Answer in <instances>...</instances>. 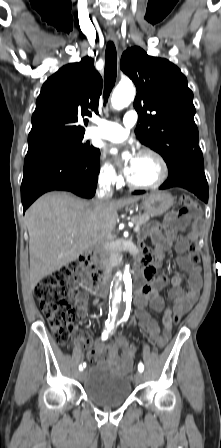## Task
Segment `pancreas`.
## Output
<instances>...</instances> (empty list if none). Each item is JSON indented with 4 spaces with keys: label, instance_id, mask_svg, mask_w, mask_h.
<instances>
[{
    "label": "pancreas",
    "instance_id": "obj_1",
    "mask_svg": "<svg viewBox=\"0 0 221 448\" xmlns=\"http://www.w3.org/2000/svg\"><path fill=\"white\" fill-rule=\"evenodd\" d=\"M150 216L148 214L143 215H137L131 218V222L134 223L136 226L142 227L145 226L146 223L149 221ZM118 257L116 254L111 255V265L114 266L117 264Z\"/></svg>",
    "mask_w": 221,
    "mask_h": 448
}]
</instances>
